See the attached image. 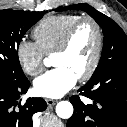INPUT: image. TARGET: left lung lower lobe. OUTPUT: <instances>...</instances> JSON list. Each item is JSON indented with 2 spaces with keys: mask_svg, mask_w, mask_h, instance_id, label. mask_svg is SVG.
<instances>
[{
  "mask_svg": "<svg viewBox=\"0 0 127 127\" xmlns=\"http://www.w3.org/2000/svg\"><path fill=\"white\" fill-rule=\"evenodd\" d=\"M93 103L70 98L74 113L66 127H127V65L114 66L78 90Z\"/></svg>",
  "mask_w": 127,
  "mask_h": 127,
  "instance_id": "obj_1",
  "label": "left lung lower lobe"
}]
</instances>
